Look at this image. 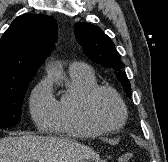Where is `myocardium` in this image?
Instances as JSON below:
<instances>
[{
	"instance_id": "f54148a6",
	"label": "myocardium",
	"mask_w": 168,
	"mask_h": 162,
	"mask_svg": "<svg viewBox=\"0 0 168 162\" xmlns=\"http://www.w3.org/2000/svg\"><path fill=\"white\" fill-rule=\"evenodd\" d=\"M100 92H107L117 100L122 113L121 120L117 125L114 126L103 125L95 117L92 107L93 100L96 97V95ZM82 111L88 123L102 132H114L120 130L125 125L128 116L127 107L121 95L114 88L104 85H96L86 92L82 101Z\"/></svg>"
}]
</instances>
